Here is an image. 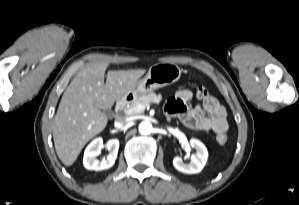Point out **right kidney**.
I'll return each instance as SVG.
<instances>
[{
    "label": "right kidney",
    "mask_w": 299,
    "mask_h": 205,
    "mask_svg": "<svg viewBox=\"0 0 299 205\" xmlns=\"http://www.w3.org/2000/svg\"><path fill=\"white\" fill-rule=\"evenodd\" d=\"M103 147V139L101 137L94 139L86 147L83 157V165L86 169L98 171L108 169L114 165L118 154L119 140H108L105 147L109 151V154L106 158L98 160L97 156L100 154Z\"/></svg>",
    "instance_id": "obj_1"
}]
</instances>
